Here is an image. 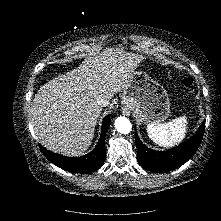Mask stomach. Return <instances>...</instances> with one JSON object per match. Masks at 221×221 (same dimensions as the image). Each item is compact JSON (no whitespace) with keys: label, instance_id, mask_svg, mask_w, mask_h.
I'll return each instance as SVG.
<instances>
[{"label":"stomach","instance_id":"1","mask_svg":"<svg viewBox=\"0 0 221 221\" xmlns=\"http://www.w3.org/2000/svg\"><path fill=\"white\" fill-rule=\"evenodd\" d=\"M122 105L148 125L160 124L170 112L167 91L143 71H135L124 88Z\"/></svg>","mask_w":221,"mask_h":221}]
</instances>
